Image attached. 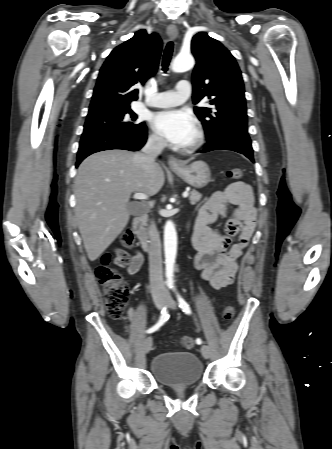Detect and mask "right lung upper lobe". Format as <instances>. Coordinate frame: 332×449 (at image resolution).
Returning <instances> with one entry per match:
<instances>
[{"label": "right lung upper lobe", "mask_w": 332, "mask_h": 449, "mask_svg": "<svg viewBox=\"0 0 332 449\" xmlns=\"http://www.w3.org/2000/svg\"><path fill=\"white\" fill-rule=\"evenodd\" d=\"M161 50L159 36L144 29L117 46L100 69L89 112L130 107L138 99L135 86L156 73Z\"/></svg>", "instance_id": "right-lung-upper-lobe-1"}]
</instances>
